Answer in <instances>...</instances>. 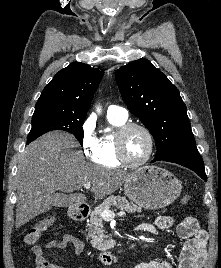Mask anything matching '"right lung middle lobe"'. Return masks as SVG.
Masks as SVG:
<instances>
[{"label": "right lung middle lobe", "instance_id": "right-lung-middle-lobe-1", "mask_svg": "<svg viewBox=\"0 0 221 268\" xmlns=\"http://www.w3.org/2000/svg\"><path fill=\"white\" fill-rule=\"evenodd\" d=\"M86 115L61 110L35 111L28 140H35L46 132L63 130L73 134L80 144L83 143V123Z\"/></svg>", "mask_w": 221, "mask_h": 268}]
</instances>
